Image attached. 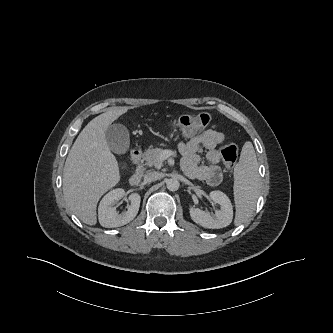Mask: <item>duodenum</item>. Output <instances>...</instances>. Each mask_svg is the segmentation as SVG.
Segmentation results:
<instances>
[{"label": "duodenum", "instance_id": "duodenum-1", "mask_svg": "<svg viewBox=\"0 0 333 333\" xmlns=\"http://www.w3.org/2000/svg\"><path fill=\"white\" fill-rule=\"evenodd\" d=\"M132 161L136 168L134 173L129 178V184L132 186H136L140 183L144 173V167L142 165L143 156L140 150H135L132 153Z\"/></svg>", "mask_w": 333, "mask_h": 333}]
</instances>
